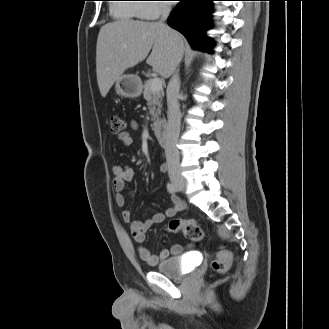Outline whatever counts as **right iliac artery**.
Instances as JSON below:
<instances>
[{
	"label": "right iliac artery",
	"mask_w": 329,
	"mask_h": 329,
	"mask_svg": "<svg viewBox=\"0 0 329 329\" xmlns=\"http://www.w3.org/2000/svg\"><path fill=\"white\" fill-rule=\"evenodd\" d=\"M167 190L169 193L174 194L176 192V188L172 183L167 184Z\"/></svg>",
	"instance_id": "right-iliac-artery-1"
}]
</instances>
